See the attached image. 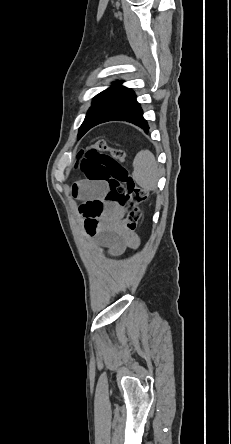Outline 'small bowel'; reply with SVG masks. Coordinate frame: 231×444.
Instances as JSON below:
<instances>
[{
    "mask_svg": "<svg viewBox=\"0 0 231 444\" xmlns=\"http://www.w3.org/2000/svg\"><path fill=\"white\" fill-rule=\"evenodd\" d=\"M106 190L107 186L104 182L80 181L74 185L72 193L86 203H101L102 210L96 233L101 244L107 247L113 255H120L127 248L136 249L140 240L136 234L125 228L123 223L124 208L115 201L105 200Z\"/></svg>",
    "mask_w": 231,
    "mask_h": 444,
    "instance_id": "1",
    "label": "small bowel"
}]
</instances>
